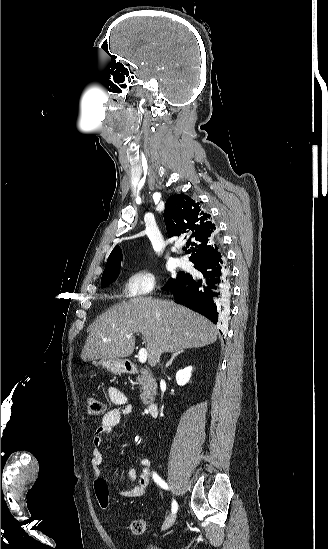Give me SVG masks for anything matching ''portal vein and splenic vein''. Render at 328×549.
<instances>
[{
	"instance_id": "portal-vein-and-splenic-vein-1",
	"label": "portal vein and splenic vein",
	"mask_w": 328,
	"mask_h": 549,
	"mask_svg": "<svg viewBox=\"0 0 328 549\" xmlns=\"http://www.w3.org/2000/svg\"><path fill=\"white\" fill-rule=\"evenodd\" d=\"M127 339H130L131 335H126ZM138 361L139 363H146L147 361V351L146 349H140L138 353Z\"/></svg>"
}]
</instances>
